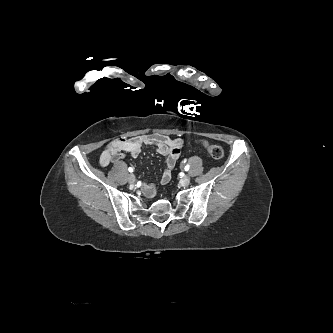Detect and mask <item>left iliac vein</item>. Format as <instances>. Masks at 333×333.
<instances>
[{
  "instance_id": "obj_1",
  "label": "left iliac vein",
  "mask_w": 333,
  "mask_h": 333,
  "mask_svg": "<svg viewBox=\"0 0 333 333\" xmlns=\"http://www.w3.org/2000/svg\"><path fill=\"white\" fill-rule=\"evenodd\" d=\"M190 183V178L188 176H184L181 180H180V185L181 186H187Z\"/></svg>"
}]
</instances>
